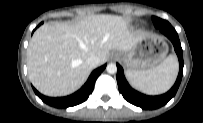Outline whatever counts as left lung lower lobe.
I'll list each match as a JSON object with an SVG mask.
<instances>
[{
  "mask_svg": "<svg viewBox=\"0 0 203 123\" xmlns=\"http://www.w3.org/2000/svg\"><path fill=\"white\" fill-rule=\"evenodd\" d=\"M158 28L173 43L174 49L176 51L179 60V74L177 80L173 85V87L168 92L159 96H147L142 93H139L138 91L130 87V85L128 84V82L124 77L122 67L119 64H117V83L120 93L123 95L125 100H127L133 105L141 107L142 109L152 110L168 103L175 96L183 75V66H184L183 53L177 32L168 22L163 23Z\"/></svg>",
  "mask_w": 203,
  "mask_h": 123,
  "instance_id": "0a47b994",
  "label": "left lung lower lobe"
}]
</instances>
